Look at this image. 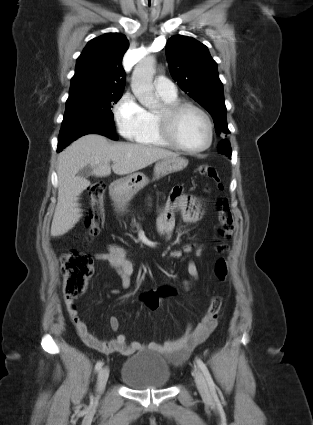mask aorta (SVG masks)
Segmentation results:
<instances>
[{"mask_svg": "<svg viewBox=\"0 0 313 425\" xmlns=\"http://www.w3.org/2000/svg\"><path fill=\"white\" fill-rule=\"evenodd\" d=\"M155 74V58L147 56L134 68L131 88L138 101L146 108L152 110L158 105L154 96L153 76Z\"/></svg>", "mask_w": 313, "mask_h": 425, "instance_id": "762f6f07", "label": "aorta"}]
</instances>
